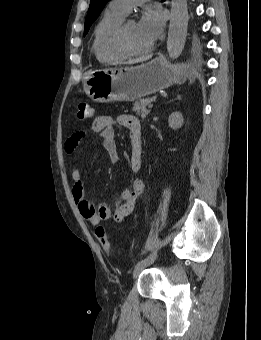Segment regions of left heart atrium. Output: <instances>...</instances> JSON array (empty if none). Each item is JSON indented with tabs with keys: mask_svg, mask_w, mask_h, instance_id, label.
Returning a JSON list of instances; mask_svg holds the SVG:
<instances>
[{
	"mask_svg": "<svg viewBox=\"0 0 261 340\" xmlns=\"http://www.w3.org/2000/svg\"><path fill=\"white\" fill-rule=\"evenodd\" d=\"M165 24V17L161 11L147 8L137 25L139 31L145 36L152 44L157 38L160 37Z\"/></svg>",
	"mask_w": 261,
	"mask_h": 340,
	"instance_id": "left-heart-atrium-1",
	"label": "left heart atrium"
}]
</instances>
